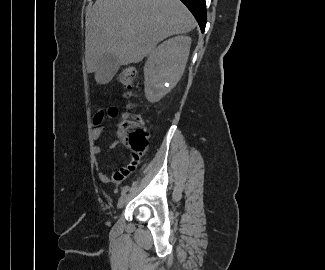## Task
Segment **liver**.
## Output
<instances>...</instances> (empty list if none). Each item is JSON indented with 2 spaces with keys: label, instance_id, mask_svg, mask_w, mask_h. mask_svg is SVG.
Wrapping results in <instances>:
<instances>
[{
  "label": "liver",
  "instance_id": "6515ba94",
  "mask_svg": "<svg viewBox=\"0 0 325 270\" xmlns=\"http://www.w3.org/2000/svg\"><path fill=\"white\" fill-rule=\"evenodd\" d=\"M196 21L180 0H96L86 13V64L99 84L101 58L112 54L119 65L139 63L162 40L193 30Z\"/></svg>",
  "mask_w": 325,
  "mask_h": 270
}]
</instances>
